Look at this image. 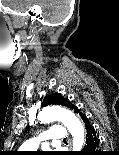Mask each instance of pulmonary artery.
<instances>
[{"mask_svg": "<svg viewBox=\"0 0 119 155\" xmlns=\"http://www.w3.org/2000/svg\"><path fill=\"white\" fill-rule=\"evenodd\" d=\"M66 129L62 126H53L44 131L40 136L26 141L22 145L24 150H35L41 142H61L66 138Z\"/></svg>", "mask_w": 119, "mask_h": 155, "instance_id": "e3ab8cb5", "label": "pulmonary artery"}]
</instances>
